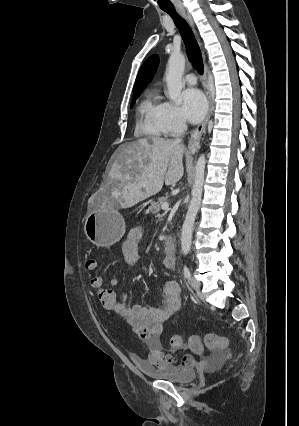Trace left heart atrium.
Here are the masks:
<instances>
[{
	"label": "left heart atrium",
	"mask_w": 299,
	"mask_h": 426,
	"mask_svg": "<svg viewBox=\"0 0 299 426\" xmlns=\"http://www.w3.org/2000/svg\"><path fill=\"white\" fill-rule=\"evenodd\" d=\"M206 111L207 102L201 91L189 88L182 93V112L189 122L198 123Z\"/></svg>",
	"instance_id": "obj_1"
}]
</instances>
